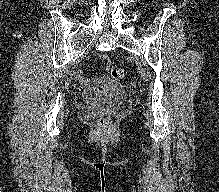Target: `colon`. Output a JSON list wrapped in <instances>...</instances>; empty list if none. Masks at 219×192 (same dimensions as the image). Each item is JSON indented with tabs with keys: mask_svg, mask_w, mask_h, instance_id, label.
Here are the masks:
<instances>
[{
	"mask_svg": "<svg viewBox=\"0 0 219 192\" xmlns=\"http://www.w3.org/2000/svg\"><path fill=\"white\" fill-rule=\"evenodd\" d=\"M110 75L115 80H121L125 77V70L123 68H113L111 69ZM97 122L100 126L107 125V119L103 117L99 118Z\"/></svg>",
	"mask_w": 219,
	"mask_h": 192,
	"instance_id": "1",
	"label": "colon"
}]
</instances>
